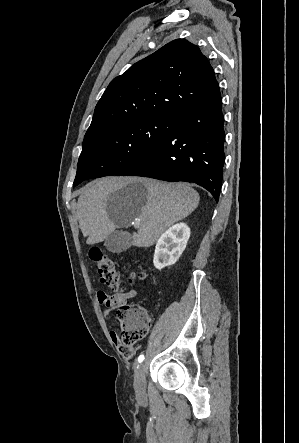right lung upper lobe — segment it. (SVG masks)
<instances>
[{
    "label": "right lung upper lobe",
    "mask_w": 299,
    "mask_h": 443,
    "mask_svg": "<svg viewBox=\"0 0 299 443\" xmlns=\"http://www.w3.org/2000/svg\"><path fill=\"white\" fill-rule=\"evenodd\" d=\"M217 85L200 49L185 39L173 40L110 82L85 138L137 119L170 117Z\"/></svg>",
    "instance_id": "right-lung-upper-lobe-1"
}]
</instances>
